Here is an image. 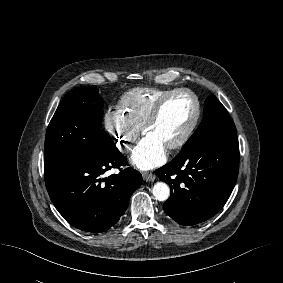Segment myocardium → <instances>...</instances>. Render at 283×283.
Masks as SVG:
<instances>
[{
	"label": "myocardium",
	"instance_id": "myocardium-1",
	"mask_svg": "<svg viewBox=\"0 0 283 283\" xmlns=\"http://www.w3.org/2000/svg\"><path fill=\"white\" fill-rule=\"evenodd\" d=\"M177 94H186L188 96L191 97V99L193 100L194 104H195V113L193 116V119L191 121V123L189 124V126L187 127V129L185 130V132L183 133V135L174 143L168 145L166 148L169 150H175V149H179L181 147H183L185 144H187V142L191 139L192 135L194 134L200 118H201V113H202V108H201V103L200 100L198 98V96L195 94V92H193L192 90L188 89V88H177V89H173L170 92L166 93L165 95H163L161 98H159L157 100V102L154 104L151 112L149 113L148 117L146 118L141 130L142 133L144 134L145 131L152 126L159 118L163 107L165 106V104L175 95Z\"/></svg>",
	"mask_w": 283,
	"mask_h": 283
}]
</instances>
